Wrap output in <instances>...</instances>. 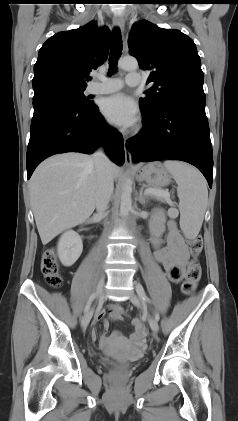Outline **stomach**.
<instances>
[{"mask_svg": "<svg viewBox=\"0 0 238 421\" xmlns=\"http://www.w3.org/2000/svg\"><path fill=\"white\" fill-rule=\"evenodd\" d=\"M137 177L156 188L165 187L171 182L169 171L160 162H151L144 165L137 172Z\"/></svg>", "mask_w": 238, "mask_h": 421, "instance_id": "stomach-1", "label": "stomach"}]
</instances>
